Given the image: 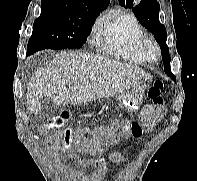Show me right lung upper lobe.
<instances>
[{"instance_id":"cb5924a9","label":"right lung upper lobe","mask_w":197,"mask_h":181,"mask_svg":"<svg viewBox=\"0 0 197 181\" xmlns=\"http://www.w3.org/2000/svg\"><path fill=\"white\" fill-rule=\"evenodd\" d=\"M109 3L110 0H42L41 12L63 16L100 14Z\"/></svg>"}]
</instances>
